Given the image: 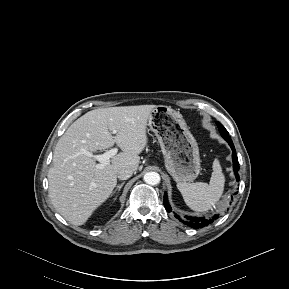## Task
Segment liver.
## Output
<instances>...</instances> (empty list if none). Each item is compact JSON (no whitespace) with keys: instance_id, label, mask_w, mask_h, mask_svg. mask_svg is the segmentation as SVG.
I'll return each instance as SVG.
<instances>
[{"instance_id":"1","label":"liver","mask_w":289,"mask_h":289,"mask_svg":"<svg viewBox=\"0 0 289 289\" xmlns=\"http://www.w3.org/2000/svg\"><path fill=\"white\" fill-rule=\"evenodd\" d=\"M155 105L95 109L78 118L56 144L48 171L49 197L56 211L71 224L83 225L109 198L118 171L138 169L139 154L147 145V122ZM109 131H116L115 136ZM123 152L97 169L95 159L81 153L111 148Z\"/></svg>"}]
</instances>
